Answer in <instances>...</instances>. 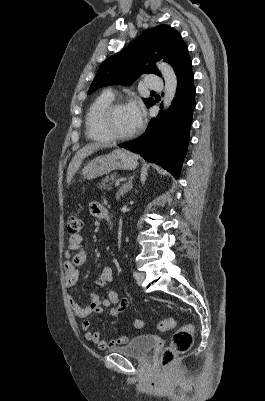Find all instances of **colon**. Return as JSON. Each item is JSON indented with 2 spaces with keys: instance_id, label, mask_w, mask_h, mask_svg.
Here are the masks:
<instances>
[{
  "instance_id": "5ec220e1",
  "label": "colon",
  "mask_w": 265,
  "mask_h": 401,
  "mask_svg": "<svg viewBox=\"0 0 265 401\" xmlns=\"http://www.w3.org/2000/svg\"><path fill=\"white\" fill-rule=\"evenodd\" d=\"M81 226L82 222L78 215L72 214L68 217L67 231L70 235L78 234ZM143 325L144 323L140 319H137L134 322V326L138 329L142 328ZM175 326V319L169 318L160 321L158 324V329L160 331H167L175 328ZM193 338L194 326L192 324H187L177 329L173 334L169 345L162 352L161 364L163 368L168 369L178 355L188 352L192 346Z\"/></svg>"
}]
</instances>
